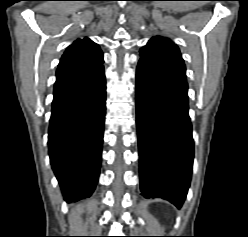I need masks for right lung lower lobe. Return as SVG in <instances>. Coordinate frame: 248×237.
I'll return each mask as SVG.
<instances>
[{
	"label": "right lung lower lobe",
	"instance_id": "right-lung-lower-lobe-1",
	"mask_svg": "<svg viewBox=\"0 0 248 237\" xmlns=\"http://www.w3.org/2000/svg\"><path fill=\"white\" fill-rule=\"evenodd\" d=\"M49 125V156L67 202L89 197L97 184L106 85L102 64L57 76Z\"/></svg>",
	"mask_w": 248,
	"mask_h": 237
}]
</instances>
